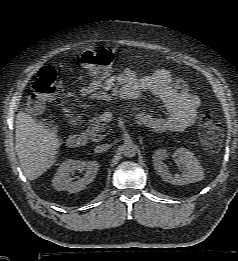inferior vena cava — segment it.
<instances>
[{"label": "inferior vena cava", "mask_w": 238, "mask_h": 261, "mask_svg": "<svg viewBox=\"0 0 238 261\" xmlns=\"http://www.w3.org/2000/svg\"><path fill=\"white\" fill-rule=\"evenodd\" d=\"M110 148V145L109 144H102V145H98L96 148H95V151L97 153H100V152H104L106 150H108Z\"/></svg>", "instance_id": "inferior-vena-cava-1"}]
</instances>
